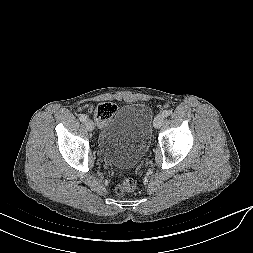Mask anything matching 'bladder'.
I'll list each match as a JSON object with an SVG mask.
<instances>
[{
    "label": "bladder",
    "mask_w": 253,
    "mask_h": 253,
    "mask_svg": "<svg viewBox=\"0 0 253 253\" xmlns=\"http://www.w3.org/2000/svg\"><path fill=\"white\" fill-rule=\"evenodd\" d=\"M152 125L150 106L141 102L122 105L100 130L98 146L103 158L119 168L136 166L148 151Z\"/></svg>",
    "instance_id": "bladder-1"
}]
</instances>
